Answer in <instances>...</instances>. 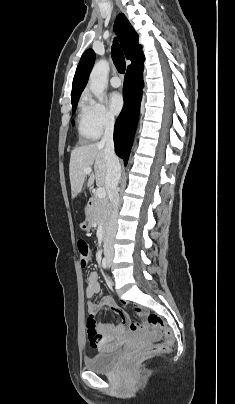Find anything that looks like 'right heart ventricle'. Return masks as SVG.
I'll use <instances>...</instances> for the list:
<instances>
[{
	"label": "right heart ventricle",
	"mask_w": 235,
	"mask_h": 404,
	"mask_svg": "<svg viewBox=\"0 0 235 404\" xmlns=\"http://www.w3.org/2000/svg\"><path fill=\"white\" fill-rule=\"evenodd\" d=\"M77 131L80 139L83 142L95 140L99 136L92 128L89 116L83 104L80 105V110L77 117Z\"/></svg>",
	"instance_id": "right-heart-ventricle-1"
}]
</instances>
